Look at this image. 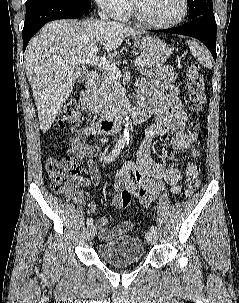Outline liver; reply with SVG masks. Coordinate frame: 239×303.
I'll list each match as a JSON object with an SVG mask.
<instances>
[{
    "instance_id": "1",
    "label": "liver",
    "mask_w": 239,
    "mask_h": 303,
    "mask_svg": "<svg viewBox=\"0 0 239 303\" xmlns=\"http://www.w3.org/2000/svg\"><path fill=\"white\" fill-rule=\"evenodd\" d=\"M141 34L108 20H57L44 25L24 54L41 131L50 129L81 75L80 64L74 60L89 56L98 44L114 56L126 37Z\"/></svg>"
}]
</instances>
